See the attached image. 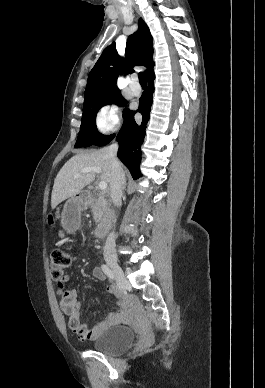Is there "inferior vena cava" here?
<instances>
[{"label":"inferior vena cava","mask_w":265,"mask_h":388,"mask_svg":"<svg viewBox=\"0 0 265 388\" xmlns=\"http://www.w3.org/2000/svg\"><path fill=\"white\" fill-rule=\"evenodd\" d=\"M118 148V144H112V146H109L107 152V156L111 164L110 192L114 206H121L122 204V190L125 180V174L117 158ZM114 238V232H111L106 240L103 252L104 258H112V256H116Z\"/></svg>","instance_id":"602c4592"}]
</instances>
